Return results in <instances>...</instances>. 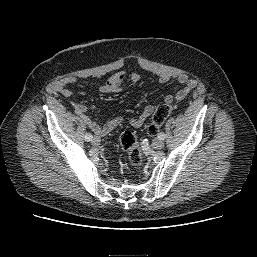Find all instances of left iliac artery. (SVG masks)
<instances>
[{
    "label": "left iliac artery",
    "mask_w": 257,
    "mask_h": 257,
    "mask_svg": "<svg viewBox=\"0 0 257 257\" xmlns=\"http://www.w3.org/2000/svg\"><path fill=\"white\" fill-rule=\"evenodd\" d=\"M158 138H159L160 140H164V139L166 138V135H165L164 133H159V134H158Z\"/></svg>",
    "instance_id": "1"
}]
</instances>
